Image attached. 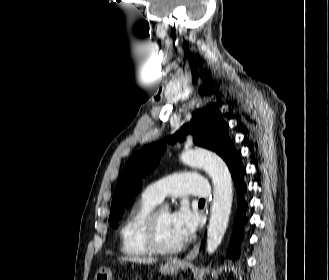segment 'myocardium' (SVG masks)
Segmentation results:
<instances>
[{"label":"myocardium","mask_w":329,"mask_h":280,"mask_svg":"<svg viewBox=\"0 0 329 280\" xmlns=\"http://www.w3.org/2000/svg\"><path fill=\"white\" fill-rule=\"evenodd\" d=\"M161 210L162 208H154L146 218L143 226L144 240L151 252L163 255L174 254L183 248V243L180 242L175 246H164L160 243L157 232V220Z\"/></svg>","instance_id":"obj_1"}]
</instances>
